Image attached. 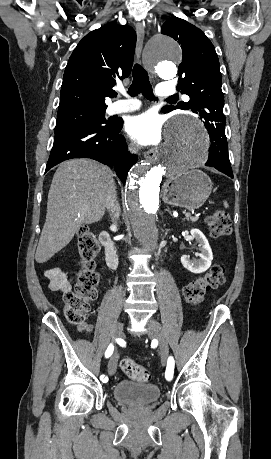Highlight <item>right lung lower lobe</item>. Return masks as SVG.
Returning a JSON list of instances; mask_svg holds the SVG:
<instances>
[{
	"mask_svg": "<svg viewBox=\"0 0 271 459\" xmlns=\"http://www.w3.org/2000/svg\"><path fill=\"white\" fill-rule=\"evenodd\" d=\"M122 125V120H117L107 127L79 126L56 133L45 173L68 159L91 158L115 166L117 176L124 183L137 156L127 152L125 140L119 134Z\"/></svg>",
	"mask_w": 271,
	"mask_h": 459,
	"instance_id": "1",
	"label": "right lung lower lobe"
}]
</instances>
